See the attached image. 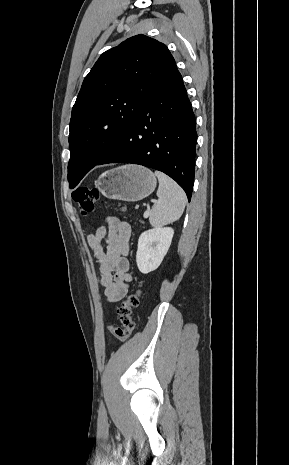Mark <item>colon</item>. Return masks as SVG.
<instances>
[{
    "instance_id": "obj_1",
    "label": "colon",
    "mask_w": 289,
    "mask_h": 465,
    "mask_svg": "<svg viewBox=\"0 0 289 465\" xmlns=\"http://www.w3.org/2000/svg\"><path fill=\"white\" fill-rule=\"evenodd\" d=\"M99 198V192L93 187H79L72 191V199L77 203L80 213L84 216L91 214L95 209V204ZM121 210H124L121 207ZM141 298V287L138 284L135 290L127 296V298L118 307L117 313L121 322V327L107 325V329L117 339L121 341L127 340L133 330L134 321L132 319L133 310L138 307Z\"/></svg>"
}]
</instances>
